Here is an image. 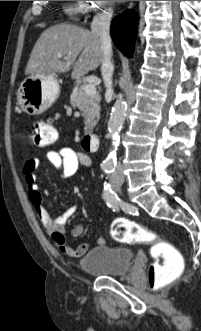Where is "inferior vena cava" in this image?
Here are the masks:
<instances>
[{"mask_svg":"<svg viewBox=\"0 0 201 331\" xmlns=\"http://www.w3.org/2000/svg\"><path fill=\"white\" fill-rule=\"evenodd\" d=\"M112 17L111 10L102 11L94 16L91 29L92 33L98 35L103 49V61L101 66V73L106 87V94H113L112 88V74L114 66L111 62L112 45L110 37V20ZM114 176H118L123 180V173L120 164L116 166Z\"/></svg>","mask_w":201,"mask_h":331,"instance_id":"obj_1","label":"inferior vena cava"}]
</instances>
